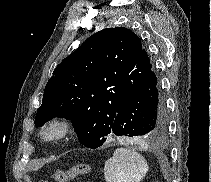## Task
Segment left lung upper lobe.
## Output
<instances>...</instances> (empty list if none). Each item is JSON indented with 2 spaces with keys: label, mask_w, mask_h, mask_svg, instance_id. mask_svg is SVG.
<instances>
[{
  "label": "left lung upper lobe",
  "mask_w": 211,
  "mask_h": 182,
  "mask_svg": "<svg viewBox=\"0 0 211 182\" xmlns=\"http://www.w3.org/2000/svg\"><path fill=\"white\" fill-rule=\"evenodd\" d=\"M151 69L140 38L124 27L103 29L59 64L49 79L35 125L72 120L81 144L95 149L111 134L115 118Z\"/></svg>",
  "instance_id": "5c2ea615"
}]
</instances>
